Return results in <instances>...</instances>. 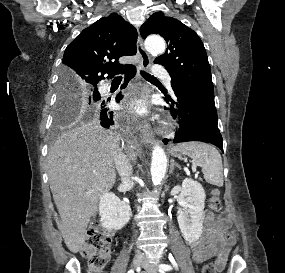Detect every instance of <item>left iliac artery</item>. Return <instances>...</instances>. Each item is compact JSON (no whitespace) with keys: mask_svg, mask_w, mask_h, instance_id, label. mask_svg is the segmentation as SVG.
I'll list each match as a JSON object with an SVG mask.
<instances>
[{"mask_svg":"<svg viewBox=\"0 0 285 273\" xmlns=\"http://www.w3.org/2000/svg\"><path fill=\"white\" fill-rule=\"evenodd\" d=\"M170 270H172V267L170 265H168V264H161V265H159V271L161 273H164V271H170Z\"/></svg>","mask_w":285,"mask_h":273,"instance_id":"1","label":"left iliac artery"}]
</instances>
